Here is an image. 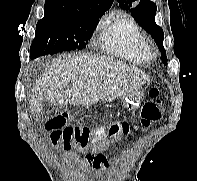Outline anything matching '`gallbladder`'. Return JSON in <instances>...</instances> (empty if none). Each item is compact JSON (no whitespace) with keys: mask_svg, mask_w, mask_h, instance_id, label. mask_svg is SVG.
Masks as SVG:
<instances>
[{"mask_svg":"<svg viewBox=\"0 0 197 181\" xmlns=\"http://www.w3.org/2000/svg\"><path fill=\"white\" fill-rule=\"evenodd\" d=\"M50 108L54 109L52 104L48 101H44L43 102V106H42V112H46L48 111Z\"/></svg>","mask_w":197,"mask_h":181,"instance_id":"1","label":"gallbladder"}]
</instances>
